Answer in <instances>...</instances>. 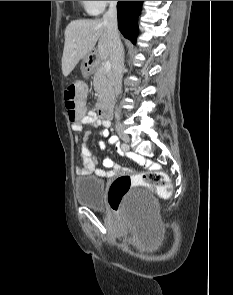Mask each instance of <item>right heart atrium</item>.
Wrapping results in <instances>:
<instances>
[{
  "label": "right heart atrium",
  "mask_w": 233,
  "mask_h": 295,
  "mask_svg": "<svg viewBox=\"0 0 233 295\" xmlns=\"http://www.w3.org/2000/svg\"><path fill=\"white\" fill-rule=\"evenodd\" d=\"M116 1H85L86 11L91 15L100 14L108 5Z\"/></svg>",
  "instance_id": "1"
}]
</instances>
